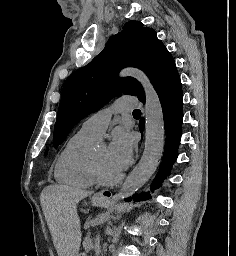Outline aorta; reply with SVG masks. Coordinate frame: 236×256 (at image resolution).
Listing matches in <instances>:
<instances>
[{
    "instance_id": "aorta-1",
    "label": "aorta",
    "mask_w": 236,
    "mask_h": 256,
    "mask_svg": "<svg viewBox=\"0 0 236 256\" xmlns=\"http://www.w3.org/2000/svg\"><path fill=\"white\" fill-rule=\"evenodd\" d=\"M121 76L136 78L144 88L146 99L145 147L139 163L117 194L118 199L124 200L139 190L156 171L164 151L165 131L161 103L147 76L137 69H125Z\"/></svg>"
}]
</instances>
